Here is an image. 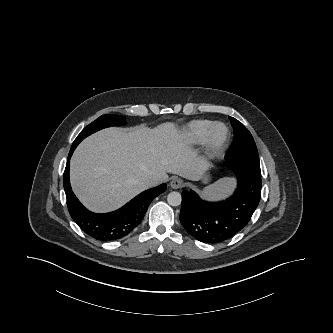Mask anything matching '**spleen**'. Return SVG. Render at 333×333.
I'll use <instances>...</instances> for the list:
<instances>
[{
  "label": "spleen",
  "mask_w": 333,
  "mask_h": 333,
  "mask_svg": "<svg viewBox=\"0 0 333 333\" xmlns=\"http://www.w3.org/2000/svg\"><path fill=\"white\" fill-rule=\"evenodd\" d=\"M232 184H233L232 179H224L218 182L217 184L204 189L201 192V194L203 197L210 200L223 198L224 196H226L227 192L231 189Z\"/></svg>",
  "instance_id": "1"
}]
</instances>
